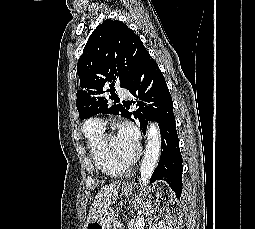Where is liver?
<instances>
[{"label":"liver","instance_id":"obj_1","mask_svg":"<svg viewBox=\"0 0 255 229\" xmlns=\"http://www.w3.org/2000/svg\"><path fill=\"white\" fill-rule=\"evenodd\" d=\"M120 185V182H112L111 184L101 188L92 203L87 216V223L92 220H96L110 209L118 197Z\"/></svg>","mask_w":255,"mask_h":229}]
</instances>
